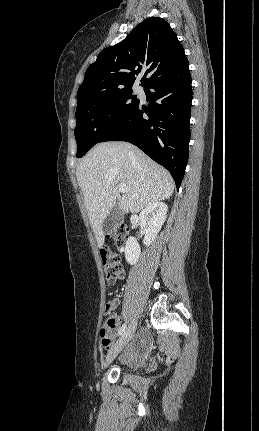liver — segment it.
I'll return each instance as SVG.
<instances>
[{"mask_svg":"<svg viewBox=\"0 0 259 431\" xmlns=\"http://www.w3.org/2000/svg\"><path fill=\"white\" fill-rule=\"evenodd\" d=\"M76 176L100 248L105 241L102 223L117 203L124 213H137L168 199L175 188L166 169L126 142L97 144L77 166ZM119 184L128 188L122 196Z\"/></svg>","mask_w":259,"mask_h":431,"instance_id":"6515ba94","label":"liver"}]
</instances>
